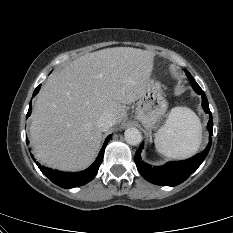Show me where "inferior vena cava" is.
I'll return each mask as SVG.
<instances>
[{
	"instance_id": "1",
	"label": "inferior vena cava",
	"mask_w": 233,
	"mask_h": 233,
	"mask_svg": "<svg viewBox=\"0 0 233 233\" xmlns=\"http://www.w3.org/2000/svg\"><path fill=\"white\" fill-rule=\"evenodd\" d=\"M114 124H115V117L111 113L102 114L97 121V127L101 131H107Z\"/></svg>"
}]
</instances>
